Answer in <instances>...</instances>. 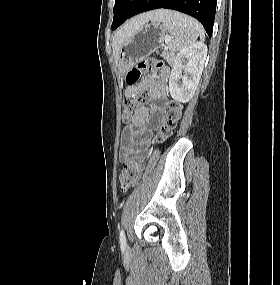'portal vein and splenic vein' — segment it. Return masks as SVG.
Listing matches in <instances>:
<instances>
[{"instance_id": "obj_1", "label": "portal vein and splenic vein", "mask_w": 280, "mask_h": 285, "mask_svg": "<svg viewBox=\"0 0 280 285\" xmlns=\"http://www.w3.org/2000/svg\"><path fill=\"white\" fill-rule=\"evenodd\" d=\"M171 41V37H167L166 38V42L168 43V42H170Z\"/></svg>"}]
</instances>
